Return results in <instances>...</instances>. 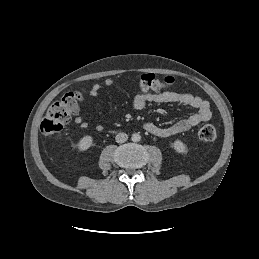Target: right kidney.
I'll list each match as a JSON object with an SVG mask.
<instances>
[{"instance_id":"1","label":"right kidney","mask_w":259,"mask_h":259,"mask_svg":"<svg viewBox=\"0 0 259 259\" xmlns=\"http://www.w3.org/2000/svg\"><path fill=\"white\" fill-rule=\"evenodd\" d=\"M93 145V138L91 136H84L78 142V149L81 152L88 150Z\"/></svg>"}]
</instances>
